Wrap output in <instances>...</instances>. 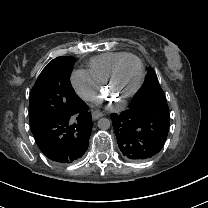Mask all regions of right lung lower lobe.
Wrapping results in <instances>:
<instances>
[{
  "label": "right lung lower lobe",
  "mask_w": 208,
  "mask_h": 208,
  "mask_svg": "<svg viewBox=\"0 0 208 208\" xmlns=\"http://www.w3.org/2000/svg\"><path fill=\"white\" fill-rule=\"evenodd\" d=\"M92 126L91 114L83 101L71 114L30 123L42 153L58 164H70L83 156L89 145Z\"/></svg>",
  "instance_id": "1"
}]
</instances>
